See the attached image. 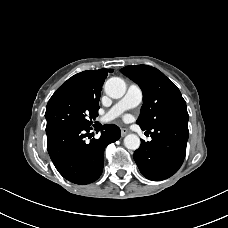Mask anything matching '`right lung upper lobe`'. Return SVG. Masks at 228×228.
I'll return each instance as SVG.
<instances>
[{
    "instance_id": "cb5924a9",
    "label": "right lung upper lobe",
    "mask_w": 228,
    "mask_h": 228,
    "mask_svg": "<svg viewBox=\"0 0 228 228\" xmlns=\"http://www.w3.org/2000/svg\"><path fill=\"white\" fill-rule=\"evenodd\" d=\"M112 71V69L83 71L72 76L64 83V85L74 87L78 93L85 97L99 100L102 85L107 77V73Z\"/></svg>"
}]
</instances>
